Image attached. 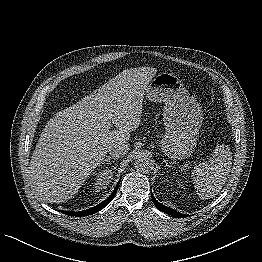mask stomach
Returning a JSON list of instances; mask_svg holds the SVG:
<instances>
[{"instance_id": "stomach-1", "label": "stomach", "mask_w": 262, "mask_h": 262, "mask_svg": "<svg viewBox=\"0 0 262 262\" xmlns=\"http://www.w3.org/2000/svg\"><path fill=\"white\" fill-rule=\"evenodd\" d=\"M153 102H163L166 133L161 142L162 152L173 159H185L195 150L202 126V110L181 80L173 73H160L146 89Z\"/></svg>"}]
</instances>
